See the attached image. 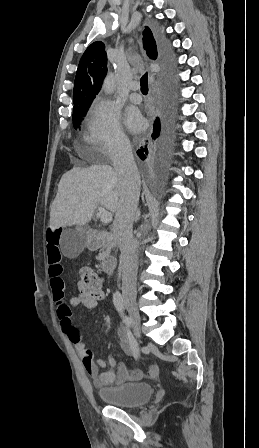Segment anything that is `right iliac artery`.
<instances>
[{"label": "right iliac artery", "mask_w": 259, "mask_h": 448, "mask_svg": "<svg viewBox=\"0 0 259 448\" xmlns=\"http://www.w3.org/2000/svg\"><path fill=\"white\" fill-rule=\"evenodd\" d=\"M113 302H114L116 310L121 314L122 319H123V323L126 326L127 336H128V339H129V341H130V343L132 345L134 357H135V359H138L139 355H140L139 347H138V344H137V342H136L132 332L129 329V325L131 323V320H130V318L128 316H126L124 314V303H123V299H122V296H121L119 291H116L114 293V295H113Z\"/></svg>", "instance_id": "1"}]
</instances>
